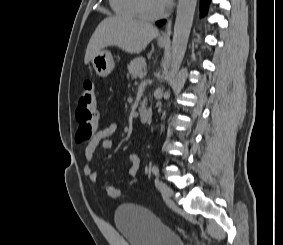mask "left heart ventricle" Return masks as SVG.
<instances>
[{"label":"left heart ventricle","instance_id":"1","mask_svg":"<svg viewBox=\"0 0 283 245\" xmlns=\"http://www.w3.org/2000/svg\"><path fill=\"white\" fill-rule=\"evenodd\" d=\"M143 5L150 13H157L164 8L160 0H143Z\"/></svg>","mask_w":283,"mask_h":245}]
</instances>
